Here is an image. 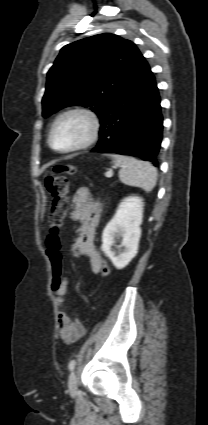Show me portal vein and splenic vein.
Here are the masks:
<instances>
[{"mask_svg":"<svg viewBox=\"0 0 208 425\" xmlns=\"http://www.w3.org/2000/svg\"><path fill=\"white\" fill-rule=\"evenodd\" d=\"M105 176H106L107 178H111V177L113 176V172H112V171H107V172L105 173Z\"/></svg>","mask_w":208,"mask_h":425,"instance_id":"1","label":"portal vein and splenic vein"}]
</instances>
